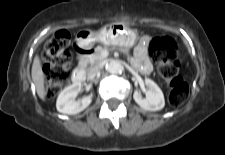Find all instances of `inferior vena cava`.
Returning a JSON list of instances; mask_svg holds the SVG:
<instances>
[{
  "instance_id": "602c4592",
  "label": "inferior vena cava",
  "mask_w": 225,
  "mask_h": 155,
  "mask_svg": "<svg viewBox=\"0 0 225 155\" xmlns=\"http://www.w3.org/2000/svg\"><path fill=\"white\" fill-rule=\"evenodd\" d=\"M102 68H103L102 64H97V65L89 68L88 79H90V80L94 79L100 73Z\"/></svg>"
}]
</instances>
